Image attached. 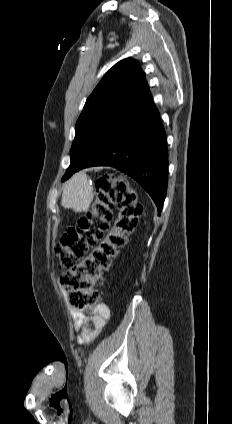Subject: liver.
<instances>
[{
  "mask_svg": "<svg viewBox=\"0 0 232 424\" xmlns=\"http://www.w3.org/2000/svg\"><path fill=\"white\" fill-rule=\"evenodd\" d=\"M93 188L84 173L73 175L65 184L61 204L75 212H87L93 201Z\"/></svg>",
  "mask_w": 232,
  "mask_h": 424,
  "instance_id": "6515ba94",
  "label": "liver"
}]
</instances>
